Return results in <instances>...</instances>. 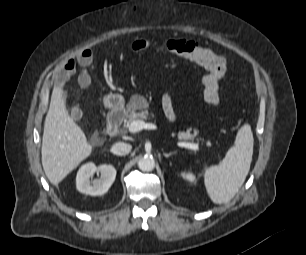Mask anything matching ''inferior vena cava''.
<instances>
[{"label":"inferior vena cava","mask_w":306,"mask_h":255,"mask_svg":"<svg viewBox=\"0 0 306 255\" xmlns=\"http://www.w3.org/2000/svg\"><path fill=\"white\" fill-rule=\"evenodd\" d=\"M132 149V146L130 144L124 143V142H118L115 143L111 151L119 156L127 155Z\"/></svg>","instance_id":"1"}]
</instances>
